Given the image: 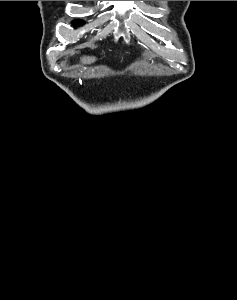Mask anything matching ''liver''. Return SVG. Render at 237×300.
Listing matches in <instances>:
<instances>
[{
	"instance_id": "obj_1",
	"label": "liver",
	"mask_w": 237,
	"mask_h": 300,
	"mask_svg": "<svg viewBox=\"0 0 237 300\" xmlns=\"http://www.w3.org/2000/svg\"><path fill=\"white\" fill-rule=\"evenodd\" d=\"M96 61L95 57H81V63L83 65H90V63H94Z\"/></svg>"
}]
</instances>
